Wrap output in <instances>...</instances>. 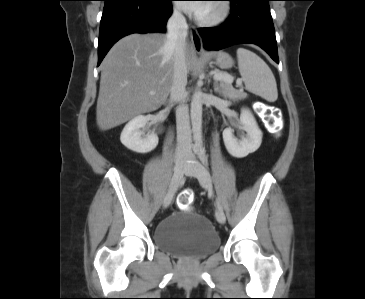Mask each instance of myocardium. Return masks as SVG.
<instances>
[{
    "mask_svg": "<svg viewBox=\"0 0 365 299\" xmlns=\"http://www.w3.org/2000/svg\"><path fill=\"white\" fill-rule=\"evenodd\" d=\"M215 13L209 17L197 16L196 21L203 26H216L225 22L231 14L232 7L227 0H215Z\"/></svg>",
    "mask_w": 365,
    "mask_h": 299,
    "instance_id": "1",
    "label": "myocardium"
}]
</instances>
